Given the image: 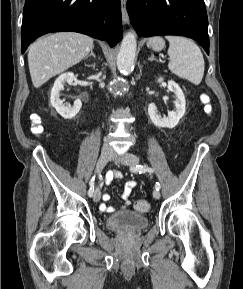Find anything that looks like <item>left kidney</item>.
Wrapping results in <instances>:
<instances>
[{"label": "left kidney", "instance_id": "1", "mask_svg": "<svg viewBox=\"0 0 243 289\" xmlns=\"http://www.w3.org/2000/svg\"><path fill=\"white\" fill-rule=\"evenodd\" d=\"M162 81V78L158 80L159 83ZM168 90L174 92L176 95V100L173 102L175 111H170L168 113V117L162 118L160 115H158L157 107L154 103H151L148 106V114L150 119L157 127L174 128L186 111L185 96L179 85L174 81H168Z\"/></svg>", "mask_w": 243, "mask_h": 289}]
</instances>
